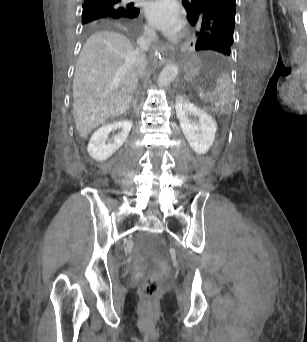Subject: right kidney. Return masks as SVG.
<instances>
[{
  "instance_id": "obj_1",
  "label": "right kidney",
  "mask_w": 307,
  "mask_h": 342,
  "mask_svg": "<svg viewBox=\"0 0 307 342\" xmlns=\"http://www.w3.org/2000/svg\"><path fill=\"white\" fill-rule=\"evenodd\" d=\"M121 128L120 134L114 136L113 142H108V136L113 130ZM132 128V122L130 120H121V122H113V124H106L102 128H98L94 134H92L88 144V154L96 160V162H103L108 160L116 150H119L120 146L124 144L126 138L129 136V132Z\"/></svg>"
}]
</instances>
